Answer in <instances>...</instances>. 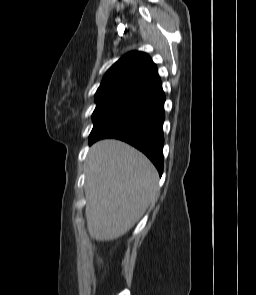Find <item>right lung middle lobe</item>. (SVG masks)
Instances as JSON below:
<instances>
[{"label": "right lung middle lobe", "mask_w": 256, "mask_h": 295, "mask_svg": "<svg viewBox=\"0 0 256 295\" xmlns=\"http://www.w3.org/2000/svg\"><path fill=\"white\" fill-rule=\"evenodd\" d=\"M133 99L121 98L98 103L92 115L94 126L90 136L97 134L106 123L120 113Z\"/></svg>", "instance_id": "obj_1"}]
</instances>
